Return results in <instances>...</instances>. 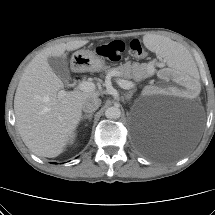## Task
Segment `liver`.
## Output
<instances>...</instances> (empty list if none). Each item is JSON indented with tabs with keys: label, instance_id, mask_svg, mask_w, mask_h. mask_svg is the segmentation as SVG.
<instances>
[{
	"label": "liver",
	"instance_id": "obj_1",
	"mask_svg": "<svg viewBox=\"0 0 215 215\" xmlns=\"http://www.w3.org/2000/svg\"><path fill=\"white\" fill-rule=\"evenodd\" d=\"M88 40H74L45 48L28 64L14 97L16 125L24 144L37 156L60 155L82 117L83 103L98 97L96 91L74 90L58 93L63 82L51 69L48 58L66 56L86 45Z\"/></svg>",
	"mask_w": 215,
	"mask_h": 215
}]
</instances>
